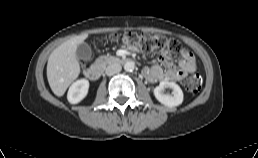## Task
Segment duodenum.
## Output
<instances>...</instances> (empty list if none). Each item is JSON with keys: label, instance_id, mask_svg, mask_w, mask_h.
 Returning <instances> with one entry per match:
<instances>
[{"label": "duodenum", "instance_id": "1", "mask_svg": "<svg viewBox=\"0 0 258 158\" xmlns=\"http://www.w3.org/2000/svg\"><path fill=\"white\" fill-rule=\"evenodd\" d=\"M111 64H119V63H129L130 59L124 57H115L109 60ZM103 71V67L101 65H94L86 69L85 76L90 80L98 79Z\"/></svg>", "mask_w": 258, "mask_h": 158}]
</instances>
